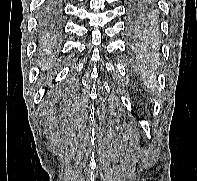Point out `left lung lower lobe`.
Returning a JSON list of instances; mask_svg holds the SVG:
<instances>
[{
  "label": "left lung lower lobe",
  "mask_w": 197,
  "mask_h": 181,
  "mask_svg": "<svg viewBox=\"0 0 197 181\" xmlns=\"http://www.w3.org/2000/svg\"><path fill=\"white\" fill-rule=\"evenodd\" d=\"M127 36L131 51L137 56L157 51L159 21L155 0H128Z\"/></svg>",
  "instance_id": "1"
}]
</instances>
